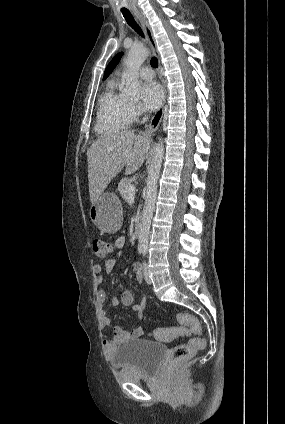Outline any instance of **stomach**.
<instances>
[{
    "instance_id": "obj_1",
    "label": "stomach",
    "mask_w": 285,
    "mask_h": 424,
    "mask_svg": "<svg viewBox=\"0 0 285 424\" xmlns=\"http://www.w3.org/2000/svg\"><path fill=\"white\" fill-rule=\"evenodd\" d=\"M89 215L94 225L104 233H114L123 221V207L119 197L111 192L102 193L91 205Z\"/></svg>"
}]
</instances>
